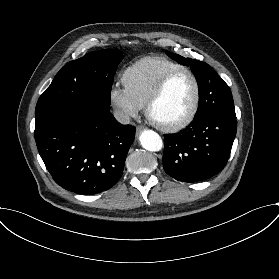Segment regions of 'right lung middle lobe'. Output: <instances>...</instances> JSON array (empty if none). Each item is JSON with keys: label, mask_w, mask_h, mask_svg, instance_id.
<instances>
[{"label": "right lung middle lobe", "mask_w": 279, "mask_h": 279, "mask_svg": "<svg viewBox=\"0 0 279 279\" xmlns=\"http://www.w3.org/2000/svg\"><path fill=\"white\" fill-rule=\"evenodd\" d=\"M122 59L119 50L109 49L68 62L38 99L35 113L46 106L79 98L109 109L113 77Z\"/></svg>", "instance_id": "1"}]
</instances>
